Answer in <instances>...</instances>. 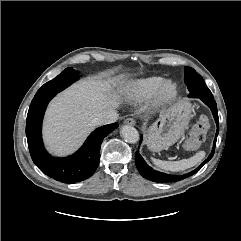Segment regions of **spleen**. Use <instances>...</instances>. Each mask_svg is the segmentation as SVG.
<instances>
[{
    "label": "spleen",
    "mask_w": 241,
    "mask_h": 241,
    "mask_svg": "<svg viewBox=\"0 0 241 241\" xmlns=\"http://www.w3.org/2000/svg\"><path fill=\"white\" fill-rule=\"evenodd\" d=\"M205 157V152L200 151L196 153L193 157L188 159H182L179 161H164L160 159L152 158L153 163L160 169L172 172H178L186 170L190 167L198 164Z\"/></svg>",
    "instance_id": "spleen-1"
}]
</instances>
